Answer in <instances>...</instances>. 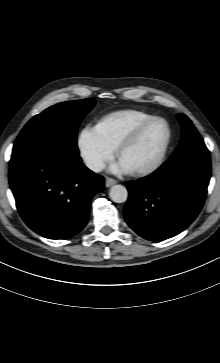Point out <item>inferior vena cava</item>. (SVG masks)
Wrapping results in <instances>:
<instances>
[{
	"label": "inferior vena cava",
	"mask_w": 220,
	"mask_h": 363,
	"mask_svg": "<svg viewBox=\"0 0 220 363\" xmlns=\"http://www.w3.org/2000/svg\"><path fill=\"white\" fill-rule=\"evenodd\" d=\"M86 166L90 169V170H92V171H94V172H100V171H102L103 170V168H104V163L103 162H101V161H99V160H88L87 162H86Z\"/></svg>",
	"instance_id": "obj_1"
}]
</instances>
